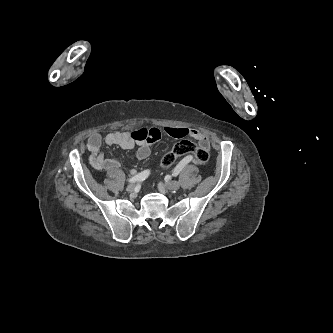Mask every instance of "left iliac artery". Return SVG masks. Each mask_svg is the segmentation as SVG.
I'll use <instances>...</instances> for the list:
<instances>
[{"instance_id": "obj_1", "label": "left iliac artery", "mask_w": 333, "mask_h": 333, "mask_svg": "<svg viewBox=\"0 0 333 333\" xmlns=\"http://www.w3.org/2000/svg\"><path fill=\"white\" fill-rule=\"evenodd\" d=\"M183 167H184V163H183V162H180V163L175 167V169H174V171H173V175H174V176H177V175L180 173V171L183 169Z\"/></svg>"}]
</instances>
